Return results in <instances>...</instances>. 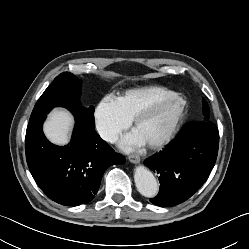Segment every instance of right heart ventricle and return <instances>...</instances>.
<instances>
[{
	"label": "right heart ventricle",
	"instance_id": "e07e8e85",
	"mask_svg": "<svg viewBox=\"0 0 249 249\" xmlns=\"http://www.w3.org/2000/svg\"><path fill=\"white\" fill-rule=\"evenodd\" d=\"M173 93L161 86H145L130 89L115 99L125 117L129 121H133L135 116L147 105Z\"/></svg>",
	"mask_w": 249,
	"mask_h": 249
}]
</instances>
